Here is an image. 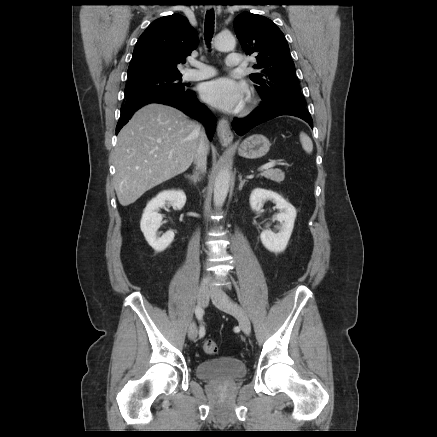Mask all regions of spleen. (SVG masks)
Listing matches in <instances>:
<instances>
[{"instance_id":"1","label":"spleen","mask_w":437,"mask_h":437,"mask_svg":"<svg viewBox=\"0 0 437 437\" xmlns=\"http://www.w3.org/2000/svg\"><path fill=\"white\" fill-rule=\"evenodd\" d=\"M300 142L302 144L303 149L307 152V153H311L313 150V143L312 140L310 139V137L305 134L304 132L300 133Z\"/></svg>"}]
</instances>
